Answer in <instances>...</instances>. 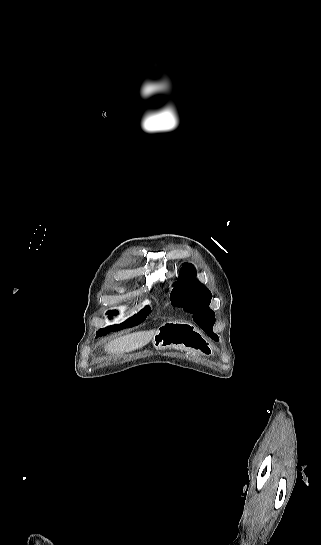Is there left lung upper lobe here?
Instances as JSON below:
<instances>
[{"instance_id": "1", "label": "left lung upper lobe", "mask_w": 321, "mask_h": 545, "mask_svg": "<svg viewBox=\"0 0 321 545\" xmlns=\"http://www.w3.org/2000/svg\"><path fill=\"white\" fill-rule=\"evenodd\" d=\"M170 299L174 306H181L193 313L194 321L208 335L213 334L215 313L209 308L211 292L196 279V270L191 264H184L179 280L173 284Z\"/></svg>"}]
</instances>
